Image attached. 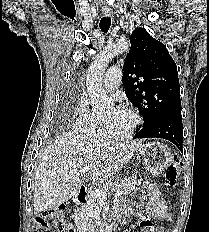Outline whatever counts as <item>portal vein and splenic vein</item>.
<instances>
[{
	"instance_id": "1",
	"label": "portal vein and splenic vein",
	"mask_w": 209,
	"mask_h": 232,
	"mask_svg": "<svg viewBox=\"0 0 209 232\" xmlns=\"http://www.w3.org/2000/svg\"><path fill=\"white\" fill-rule=\"evenodd\" d=\"M90 169V166H84L81 168V173L82 174H86L88 172V170ZM93 189L94 192L96 193V196L100 199L101 202L106 201L107 200V193L105 190L95 187L93 184ZM123 195V191L122 190H118L115 192L114 197L117 198L119 196Z\"/></svg>"
}]
</instances>
